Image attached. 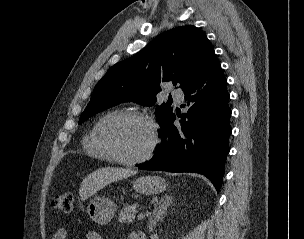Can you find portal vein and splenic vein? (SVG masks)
I'll return each mask as SVG.
<instances>
[{
  "mask_svg": "<svg viewBox=\"0 0 304 239\" xmlns=\"http://www.w3.org/2000/svg\"><path fill=\"white\" fill-rule=\"evenodd\" d=\"M144 218H145V214L140 213V214L138 215V220H143Z\"/></svg>",
  "mask_w": 304,
  "mask_h": 239,
  "instance_id": "18ae733b",
  "label": "portal vein and splenic vein"
}]
</instances>
